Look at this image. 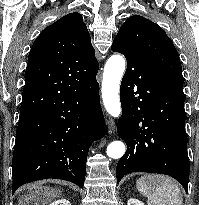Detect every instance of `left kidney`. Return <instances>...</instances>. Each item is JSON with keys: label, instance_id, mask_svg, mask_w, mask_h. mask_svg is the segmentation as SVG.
I'll use <instances>...</instances> for the list:
<instances>
[{"label": "left kidney", "instance_id": "5707ae66", "mask_svg": "<svg viewBox=\"0 0 199 205\" xmlns=\"http://www.w3.org/2000/svg\"><path fill=\"white\" fill-rule=\"evenodd\" d=\"M127 205H145V204L140 200H137L135 198H130L127 202Z\"/></svg>", "mask_w": 199, "mask_h": 205}]
</instances>
